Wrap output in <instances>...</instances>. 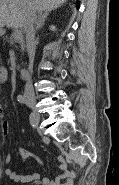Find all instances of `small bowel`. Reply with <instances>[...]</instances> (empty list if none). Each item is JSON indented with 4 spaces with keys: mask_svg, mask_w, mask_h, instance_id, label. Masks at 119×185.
<instances>
[{
    "mask_svg": "<svg viewBox=\"0 0 119 185\" xmlns=\"http://www.w3.org/2000/svg\"><path fill=\"white\" fill-rule=\"evenodd\" d=\"M9 79V73L8 70L4 67L0 68V82L5 83ZM10 133V123L7 120L2 121V134L4 136L8 135ZM19 154L22 158L23 163L28 158H33L39 165L43 166L42 160L35 155L33 152L26 148H21L19 150ZM12 156L10 154H6L4 156V162L6 164L11 163ZM58 163L60 167V174L55 177L54 179H50L48 177L41 178L38 173H27V174H20L16 171H14L11 168H6L4 170V173L6 176H8L11 180L15 182H32V181H39L41 179V183L43 185H73L75 173L67 168L66 161L63 157L58 158Z\"/></svg>",
    "mask_w": 119,
    "mask_h": 185,
    "instance_id": "obj_1",
    "label": "small bowel"
}]
</instances>
